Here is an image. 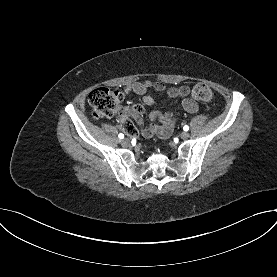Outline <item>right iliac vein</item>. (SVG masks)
I'll return each mask as SVG.
<instances>
[{
	"label": "right iliac vein",
	"mask_w": 277,
	"mask_h": 277,
	"mask_svg": "<svg viewBox=\"0 0 277 277\" xmlns=\"http://www.w3.org/2000/svg\"><path fill=\"white\" fill-rule=\"evenodd\" d=\"M121 145H122L123 147H128V146L130 145V140L127 139V138L121 140Z\"/></svg>",
	"instance_id": "63e3f726"
}]
</instances>
